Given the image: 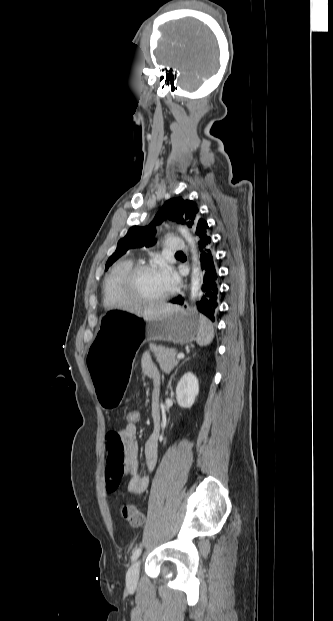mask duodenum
Returning <instances> with one entry per match:
<instances>
[{
    "label": "duodenum",
    "mask_w": 333,
    "mask_h": 621,
    "mask_svg": "<svg viewBox=\"0 0 333 621\" xmlns=\"http://www.w3.org/2000/svg\"><path fill=\"white\" fill-rule=\"evenodd\" d=\"M153 420H154V423H155L156 425H158V424H159V422H160L159 415H158V414H155V415H154V417H153Z\"/></svg>",
    "instance_id": "1"
}]
</instances>
